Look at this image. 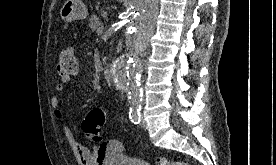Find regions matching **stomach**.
Masks as SVG:
<instances>
[{
    "instance_id": "stomach-1",
    "label": "stomach",
    "mask_w": 276,
    "mask_h": 165,
    "mask_svg": "<svg viewBox=\"0 0 276 165\" xmlns=\"http://www.w3.org/2000/svg\"><path fill=\"white\" fill-rule=\"evenodd\" d=\"M87 8L81 0H67L60 10V16L65 22L85 19Z\"/></svg>"
}]
</instances>
